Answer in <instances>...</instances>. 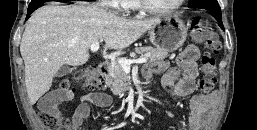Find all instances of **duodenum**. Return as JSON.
Returning a JSON list of instances; mask_svg holds the SVG:
<instances>
[{
    "mask_svg": "<svg viewBox=\"0 0 257 130\" xmlns=\"http://www.w3.org/2000/svg\"><path fill=\"white\" fill-rule=\"evenodd\" d=\"M99 73L102 77L108 76L110 72V64L108 62H103L98 67Z\"/></svg>",
    "mask_w": 257,
    "mask_h": 130,
    "instance_id": "duodenum-1",
    "label": "duodenum"
}]
</instances>
